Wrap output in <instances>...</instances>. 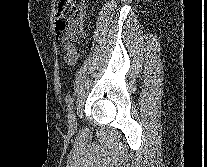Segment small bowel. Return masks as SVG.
Segmentation results:
<instances>
[{"label":"small bowel","instance_id":"obj_1","mask_svg":"<svg viewBox=\"0 0 207 167\" xmlns=\"http://www.w3.org/2000/svg\"><path fill=\"white\" fill-rule=\"evenodd\" d=\"M64 48H65V54H64V62L72 66L77 62L78 54L77 50L74 46H69L65 42H63Z\"/></svg>","mask_w":207,"mask_h":167}]
</instances>
